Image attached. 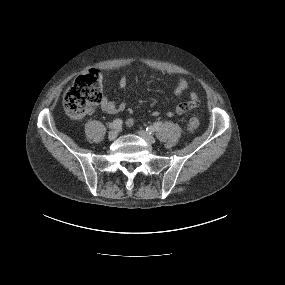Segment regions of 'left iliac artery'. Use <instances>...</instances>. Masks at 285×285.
Returning a JSON list of instances; mask_svg holds the SVG:
<instances>
[{
  "instance_id": "1",
  "label": "left iliac artery",
  "mask_w": 285,
  "mask_h": 285,
  "mask_svg": "<svg viewBox=\"0 0 285 285\" xmlns=\"http://www.w3.org/2000/svg\"><path fill=\"white\" fill-rule=\"evenodd\" d=\"M161 125H162V122H155L152 126L147 127L146 131L149 134H152L153 132L157 131Z\"/></svg>"
}]
</instances>
